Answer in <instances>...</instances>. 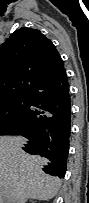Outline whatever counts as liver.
Masks as SVG:
<instances>
[{"label": "liver", "mask_w": 89, "mask_h": 203, "mask_svg": "<svg viewBox=\"0 0 89 203\" xmlns=\"http://www.w3.org/2000/svg\"><path fill=\"white\" fill-rule=\"evenodd\" d=\"M24 141L15 136L0 138V193L5 203H17L20 196L24 203L50 199L58 187L57 178L39 171L44 159L20 149Z\"/></svg>", "instance_id": "6515ba94"}]
</instances>
